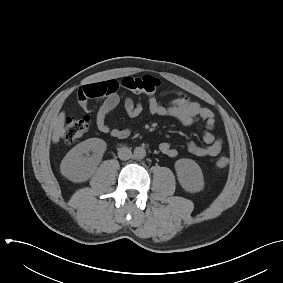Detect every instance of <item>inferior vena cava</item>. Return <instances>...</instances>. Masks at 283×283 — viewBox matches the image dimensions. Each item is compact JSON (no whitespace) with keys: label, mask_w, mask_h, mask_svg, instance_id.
I'll return each instance as SVG.
<instances>
[{"label":"inferior vena cava","mask_w":283,"mask_h":283,"mask_svg":"<svg viewBox=\"0 0 283 283\" xmlns=\"http://www.w3.org/2000/svg\"><path fill=\"white\" fill-rule=\"evenodd\" d=\"M118 157L121 160H128L132 157V152L127 147H122L118 150Z\"/></svg>","instance_id":"obj_1"}]
</instances>
